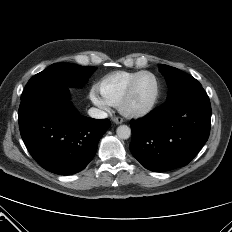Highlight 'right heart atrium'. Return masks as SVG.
Listing matches in <instances>:
<instances>
[{"mask_svg": "<svg viewBox=\"0 0 232 232\" xmlns=\"http://www.w3.org/2000/svg\"><path fill=\"white\" fill-rule=\"evenodd\" d=\"M89 96H90L91 101L95 105H97L98 107H100L103 110H107L108 109V104L102 98H100L94 90H92L90 92Z\"/></svg>", "mask_w": 232, "mask_h": 232, "instance_id": "d8ad5b80", "label": "right heart atrium"}]
</instances>
